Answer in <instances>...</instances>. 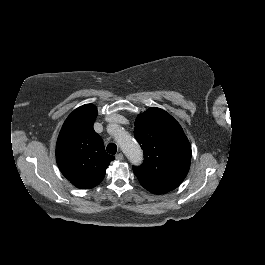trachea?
<instances>
[{
    "label": "trachea",
    "mask_w": 265,
    "mask_h": 265,
    "mask_svg": "<svg viewBox=\"0 0 265 265\" xmlns=\"http://www.w3.org/2000/svg\"><path fill=\"white\" fill-rule=\"evenodd\" d=\"M116 151H117V146H116V144H114V143H109V144L107 145V152H108L109 154L114 155V154L116 153Z\"/></svg>",
    "instance_id": "trachea-1"
}]
</instances>
